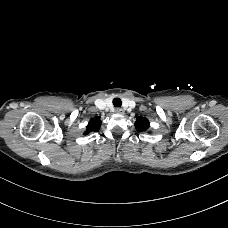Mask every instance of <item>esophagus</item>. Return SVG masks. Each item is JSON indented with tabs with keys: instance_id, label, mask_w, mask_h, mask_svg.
<instances>
[{
	"instance_id": "esophagus-1",
	"label": "esophagus",
	"mask_w": 228,
	"mask_h": 228,
	"mask_svg": "<svg viewBox=\"0 0 228 228\" xmlns=\"http://www.w3.org/2000/svg\"><path fill=\"white\" fill-rule=\"evenodd\" d=\"M115 112H116L117 114H123V113H124V110H123L122 108H116V109H115Z\"/></svg>"
}]
</instances>
